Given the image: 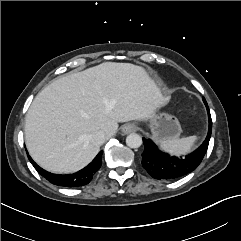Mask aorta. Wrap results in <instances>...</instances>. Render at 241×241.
<instances>
[{
    "instance_id": "obj_1",
    "label": "aorta",
    "mask_w": 241,
    "mask_h": 241,
    "mask_svg": "<svg viewBox=\"0 0 241 241\" xmlns=\"http://www.w3.org/2000/svg\"><path fill=\"white\" fill-rule=\"evenodd\" d=\"M126 145L130 148H139L142 145V138L137 133H131L126 137Z\"/></svg>"
}]
</instances>
